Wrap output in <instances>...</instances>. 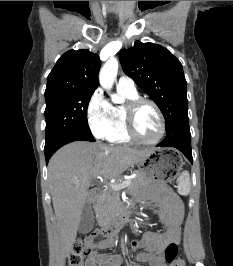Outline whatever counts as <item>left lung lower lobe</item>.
I'll return each instance as SVG.
<instances>
[{"label": "left lung lower lobe", "instance_id": "left-lung-lower-lobe-1", "mask_svg": "<svg viewBox=\"0 0 233 266\" xmlns=\"http://www.w3.org/2000/svg\"><path fill=\"white\" fill-rule=\"evenodd\" d=\"M157 146L177 148L193 163L191 134L187 113L181 114L170 127L166 128V137Z\"/></svg>", "mask_w": 233, "mask_h": 266}]
</instances>
